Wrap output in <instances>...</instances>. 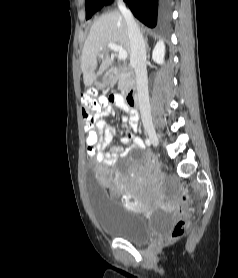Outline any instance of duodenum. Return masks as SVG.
I'll list each match as a JSON object with an SVG mask.
<instances>
[{
	"label": "duodenum",
	"mask_w": 238,
	"mask_h": 278,
	"mask_svg": "<svg viewBox=\"0 0 238 278\" xmlns=\"http://www.w3.org/2000/svg\"><path fill=\"white\" fill-rule=\"evenodd\" d=\"M119 70L117 68H112L108 72V79L111 82H114L119 75ZM127 104L131 107H135L138 105V97H137V91L135 87H132L126 94L125 98Z\"/></svg>",
	"instance_id": "1"
}]
</instances>
